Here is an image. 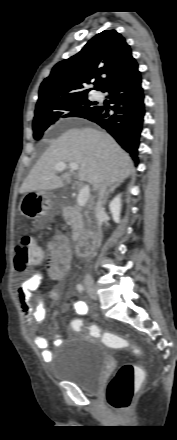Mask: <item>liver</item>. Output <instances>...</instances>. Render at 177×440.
<instances>
[{
    "instance_id": "6515ba94",
    "label": "liver",
    "mask_w": 177,
    "mask_h": 440,
    "mask_svg": "<svg viewBox=\"0 0 177 440\" xmlns=\"http://www.w3.org/2000/svg\"><path fill=\"white\" fill-rule=\"evenodd\" d=\"M77 163L78 179L89 182L93 190L100 184L122 182L134 171L133 162L107 133L94 128L69 129L47 149L23 181L20 193L48 191L70 183V173L56 175L55 166Z\"/></svg>"
}]
</instances>
